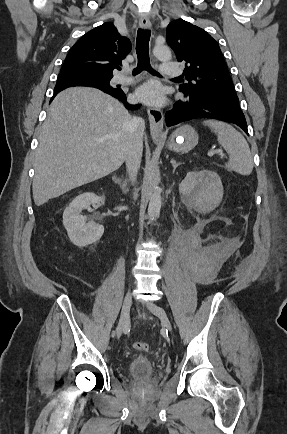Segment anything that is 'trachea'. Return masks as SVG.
Returning <instances> with one entry per match:
<instances>
[{"label":"trachea","mask_w":287,"mask_h":434,"mask_svg":"<svg viewBox=\"0 0 287 434\" xmlns=\"http://www.w3.org/2000/svg\"><path fill=\"white\" fill-rule=\"evenodd\" d=\"M151 32L148 29H139L136 39V54L138 58L137 67L133 70V75H137L143 70H147L152 75L160 76L150 65L149 60V41Z\"/></svg>","instance_id":"trachea-1"}]
</instances>
